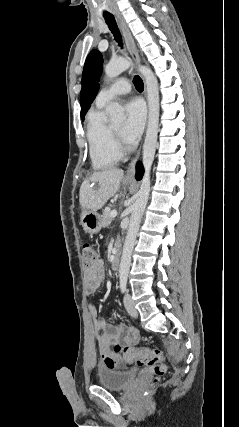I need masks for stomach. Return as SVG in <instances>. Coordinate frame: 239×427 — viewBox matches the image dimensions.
<instances>
[{
  "mask_svg": "<svg viewBox=\"0 0 239 427\" xmlns=\"http://www.w3.org/2000/svg\"><path fill=\"white\" fill-rule=\"evenodd\" d=\"M125 184L130 185L128 182ZM81 223L83 229L90 234L98 233L103 227L102 216L95 210L84 209L81 214Z\"/></svg>",
  "mask_w": 239,
  "mask_h": 427,
  "instance_id": "obj_1",
  "label": "stomach"
}]
</instances>
